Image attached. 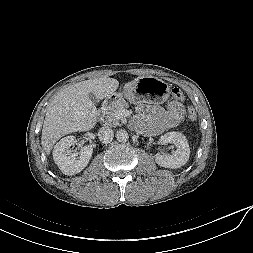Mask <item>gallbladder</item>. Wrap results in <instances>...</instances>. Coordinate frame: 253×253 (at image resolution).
<instances>
[{
    "instance_id": "bac80fb5",
    "label": "gallbladder",
    "mask_w": 253,
    "mask_h": 253,
    "mask_svg": "<svg viewBox=\"0 0 253 253\" xmlns=\"http://www.w3.org/2000/svg\"><path fill=\"white\" fill-rule=\"evenodd\" d=\"M88 97L91 100V102H93L94 104L98 102L97 97L93 93H89Z\"/></svg>"
}]
</instances>
